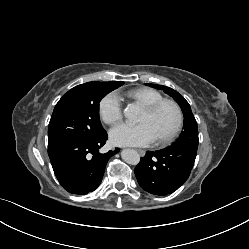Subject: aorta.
Here are the masks:
<instances>
[{
    "mask_svg": "<svg viewBox=\"0 0 249 249\" xmlns=\"http://www.w3.org/2000/svg\"><path fill=\"white\" fill-rule=\"evenodd\" d=\"M137 113L138 109L134 104H129L124 109V116L129 120L135 119ZM121 157L126 163L131 165H137L140 161V156L138 152L133 149H124L121 152Z\"/></svg>",
    "mask_w": 249,
    "mask_h": 249,
    "instance_id": "762f6f07",
    "label": "aorta"
}]
</instances>
